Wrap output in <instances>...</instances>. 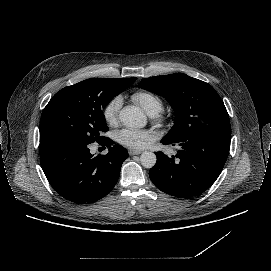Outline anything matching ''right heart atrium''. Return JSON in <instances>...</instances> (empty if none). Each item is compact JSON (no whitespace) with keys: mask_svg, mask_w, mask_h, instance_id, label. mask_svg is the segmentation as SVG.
Listing matches in <instances>:
<instances>
[{"mask_svg":"<svg viewBox=\"0 0 271 271\" xmlns=\"http://www.w3.org/2000/svg\"><path fill=\"white\" fill-rule=\"evenodd\" d=\"M122 104V95L116 94L102 108L103 119L109 126H113L117 123L118 113Z\"/></svg>","mask_w":271,"mask_h":271,"instance_id":"1","label":"right heart atrium"}]
</instances>
